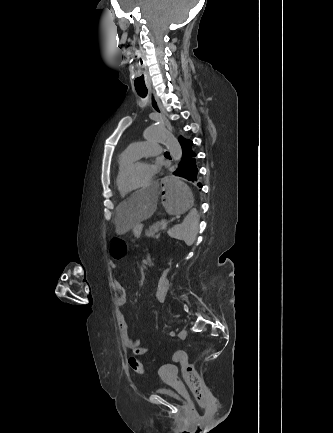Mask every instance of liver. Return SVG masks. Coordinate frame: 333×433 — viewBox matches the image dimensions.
<instances>
[{
	"mask_svg": "<svg viewBox=\"0 0 333 433\" xmlns=\"http://www.w3.org/2000/svg\"><path fill=\"white\" fill-rule=\"evenodd\" d=\"M159 183H148L146 190L132 192L131 199L121 202L116 207V234L123 235L142 221L150 218L157 209Z\"/></svg>",
	"mask_w": 333,
	"mask_h": 433,
	"instance_id": "liver-1",
	"label": "liver"
}]
</instances>
